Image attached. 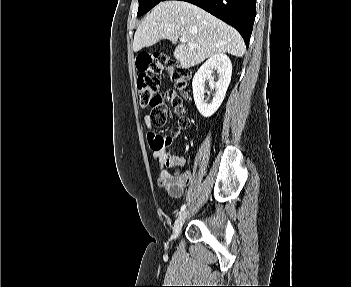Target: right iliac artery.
I'll return each instance as SVG.
<instances>
[{
    "label": "right iliac artery",
    "instance_id": "right-iliac-artery-1",
    "mask_svg": "<svg viewBox=\"0 0 351 287\" xmlns=\"http://www.w3.org/2000/svg\"><path fill=\"white\" fill-rule=\"evenodd\" d=\"M185 208H186V205L184 204V205H182L181 206V209H180V213L182 212V211H184L185 210Z\"/></svg>",
    "mask_w": 351,
    "mask_h": 287
}]
</instances>
